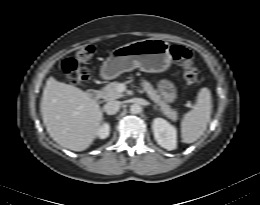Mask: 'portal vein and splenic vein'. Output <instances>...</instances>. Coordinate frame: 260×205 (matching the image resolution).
Returning <instances> with one entry per match:
<instances>
[{"mask_svg": "<svg viewBox=\"0 0 260 205\" xmlns=\"http://www.w3.org/2000/svg\"><path fill=\"white\" fill-rule=\"evenodd\" d=\"M118 89H119V91H123L125 89V86L123 84H120Z\"/></svg>", "mask_w": 260, "mask_h": 205, "instance_id": "obj_1", "label": "portal vein and splenic vein"}]
</instances>
